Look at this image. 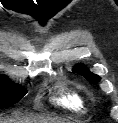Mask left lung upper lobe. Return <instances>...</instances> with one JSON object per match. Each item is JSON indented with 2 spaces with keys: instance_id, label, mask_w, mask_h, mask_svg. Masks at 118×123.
<instances>
[{
  "instance_id": "5c2ea615",
  "label": "left lung upper lobe",
  "mask_w": 118,
  "mask_h": 123,
  "mask_svg": "<svg viewBox=\"0 0 118 123\" xmlns=\"http://www.w3.org/2000/svg\"><path fill=\"white\" fill-rule=\"evenodd\" d=\"M74 72L84 76L88 81L97 84L99 81L100 77L98 75H95L91 73L84 65L79 64L74 67L73 69Z\"/></svg>"
}]
</instances>
